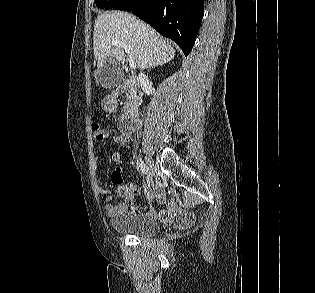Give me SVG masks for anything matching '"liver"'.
I'll use <instances>...</instances> for the list:
<instances>
[{"label":"liver","mask_w":315,"mask_h":293,"mask_svg":"<svg viewBox=\"0 0 315 293\" xmlns=\"http://www.w3.org/2000/svg\"><path fill=\"white\" fill-rule=\"evenodd\" d=\"M114 41H121L129 50L139 70L163 65L175 56L170 41L134 15L110 11L98 15L94 24L93 49L99 65L107 57L124 60V48L112 47Z\"/></svg>","instance_id":"6515ba94"}]
</instances>
